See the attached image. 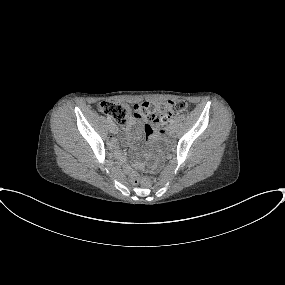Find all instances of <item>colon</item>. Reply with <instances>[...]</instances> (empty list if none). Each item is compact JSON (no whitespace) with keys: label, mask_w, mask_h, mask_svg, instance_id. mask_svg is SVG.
<instances>
[{"label":"colon","mask_w":285,"mask_h":285,"mask_svg":"<svg viewBox=\"0 0 285 285\" xmlns=\"http://www.w3.org/2000/svg\"><path fill=\"white\" fill-rule=\"evenodd\" d=\"M186 108L187 103L183 100L166 101L159 104L142 102L136 104L133 109L124 103L102 101L98 104V109L101 112L120 125H127L131 115H137L149 121H167L172 116L185 111Z\"/></svg>","instance_id":"1"}]
</instances>
